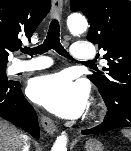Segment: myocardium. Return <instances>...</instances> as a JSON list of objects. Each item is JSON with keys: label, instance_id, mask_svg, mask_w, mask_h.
Listing matches in <instances>:
<instances>
[{"label": "myocardium", "instance_id": "myocardium-1", "mask_svg": "<svg viewBox=\"0 0 131 151\" xmlns=\"http://www.w3.org/2000/svg\"><path fill=\"white\" fill-rule=\"evenodd\" d=\"M95 116H96L95 111H92V112H91V117H95Z\"/></svg>", "mask_w": 131, "mask_h": 151}]
</instances>
